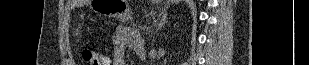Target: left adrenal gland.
<instances>
[{
	"mask_svg": "<svg viewBox=\"0 0 309 65\" xmlns=\"http://www.w3.org/2000/svg\"><path fill=\"white\" fill-rule=\"evenodd\" d=\"M166 23V15H164L161 20L159 21V23L156 24V31L155 33H157L162 27H164ZM154 32H152L153 34Z\"/></svg>",
	"mask_w": 309,
	"mask_h": 65,
	"instance_id": "left-adrenal-gland-1",
	"label": "left adrenal gland"
}]
</instances>
